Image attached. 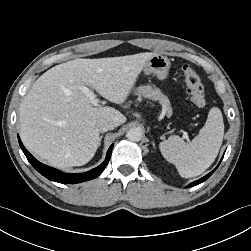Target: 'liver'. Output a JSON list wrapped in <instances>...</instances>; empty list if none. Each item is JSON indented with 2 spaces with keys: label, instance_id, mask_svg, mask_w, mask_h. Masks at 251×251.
I'll return each mask as SVG.
<instances>
[{
  "label": "liver",
  "instance_id": "liver-1",
  "mask_svg": "<svg viewBox=\"0 0 251 251\" xmlns=\"http://www.w3.org/2000/svg\"><path fill=\"white\" fill-rule=\"evenodd\" d=\"M154 55L75 59L46 71L20 106V136L26 148L57 168L88 163L99 146L97 121L107 119L117 127L126 117L112 107L94 106L80 86L122 104Z\"/></svg>",
  "mask_w": 251,
  "mask_h": 251
}]
</instances>
